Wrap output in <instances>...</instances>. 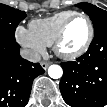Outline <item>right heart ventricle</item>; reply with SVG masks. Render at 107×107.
Instances as JSON below:
<instances>
[{"instance_id": "obj_1", "label": "right heart ventricle", "mask_w": 107, "mask_h": 107, "mask_svg": "<svg viewBox=\"0 0 107 107\" xmlns=\"http://www.w3.org/2000/svg\"><path fill=\"white\" fill-rule=\"evenodd\" d=\"M75 13L77 12L67 10L46 18L32 20L29 29L45 46H52L63 23Z\"/></svg>"}]
</instances>
